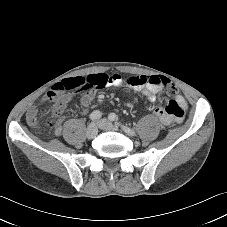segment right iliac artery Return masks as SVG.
Returning a JSON list of instances; mask_svg holds the SVG:
<instances>
[{
    "mask_svg": "<svg viewBox=\"0 0 227 227\" xmlns=\"http://www.w3.org/2000/svg\"><path fill=\"white\" fill-rule=\"evenodd\" d=\"M101 116H102V113L100 111L96 110L90 114V119L92 121H95V120H98Z\"/></svg>",
    "mask_w": 227,
    "mask_h": 227,
    "instance_id": "82829eb1",
    "label": "right iliac artery"
}]
</instances>
